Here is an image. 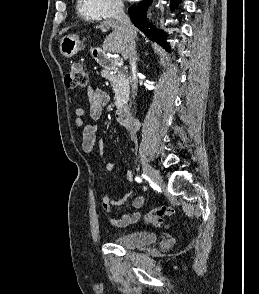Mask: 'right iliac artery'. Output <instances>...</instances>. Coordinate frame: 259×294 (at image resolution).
I'll return each mask as SVG.
<instances>
[{"instance_id":"82829eb1","label":"right iliac artery","mask_w":259,"mask_h":294,"mask_svg":"<svg viewBox=\"0 0 259 294\" xmlns=\"http://www.w3.org/2000/svg\"><path fill=\"white\" fill-rule=\"evenodd\" d=\"M145 178H146V176L145 175H143ZM136 181L137 182H141L142 181V179L140 178V177H136Z\"/></svg>"}]
</instances>
